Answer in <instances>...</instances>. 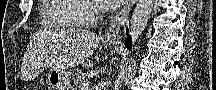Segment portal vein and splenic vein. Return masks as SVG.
Segmentation results:
<instances>
[{"label":"portal vein and splenic vein","mask_w":216,"mask_h":90,"mask_svg":"<svg viewBox=\"0 0 216 90\" xmlns=\"http://www.w3.org/2000/svg\"><path fill=\"white\" fill-rule=\"evenodd\" d=\"M88 86H89L88 82H85V84H83L81 90H88Z\"/></svg>","instance_id":"1"}]
</instances>
